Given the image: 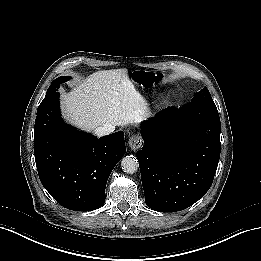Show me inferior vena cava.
<instances>
[{
    "instance_id": "obj_1",
    "label": "inferior vena cava",
    "mask_w": 261,
    "mask_h": 261,
    "mask_svg": "<svg viewBox=\"0 0 261 261\" xmlns=\"http://www.w3.org/2000/svg\"><path fill=\"white\" fill-rule=\"evenodd\" d=\"M115 130V126L112 124H105L103 126L97 127L94 131V134L97 137H102V136H106L109 135L111 133H113Z\"/></svg>"
}]
</instances>
